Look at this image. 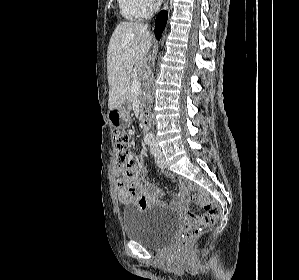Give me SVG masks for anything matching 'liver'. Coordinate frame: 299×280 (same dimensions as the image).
I'll use <instances>...</instances> for the list:
<instances>
[{
	"mask_svg": "<svg viewBox=\"0 0 299 280\" xmlns=\"http://www.w3.org/2000/svg\"><path fill=\"white\" fill-rule=\"evenodd\" d=\"M151 45L152 35L141 24L122 22L115 28L107 51L110 110L126 101L133 66L146 57Z\"/></svg>",
	"mask_w": 299,
	"mask_h": 280,
	"instance_id": "obj_1",
	"label": "liver"
}]
</instances>
